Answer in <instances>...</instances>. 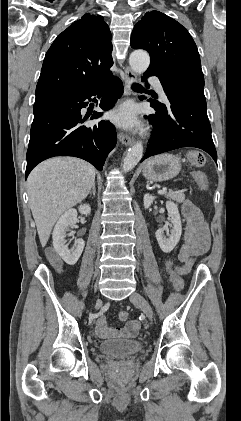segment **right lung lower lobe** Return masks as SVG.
Segmentation results:
<instances>
[{
    "mask_svg": "<svg viewBox=\"0 0 241 421\" xmlns=\"http://www.w3.org/2000/svg\"><path fill=\"white\" fill-rule=\"evenodd\" d=\"M104 92L99 106L109 110L121 97L123 84L111 74L88 88L67 90L35 101L25 178L37 164L55 156L82 158L98 170L103 169L108 153L116 144L115 127L109 121L92 127L81 125L89 116L82 117L80 111L88 105L87 99L91 101L92 96ZM101 115L94 112L91 119Z\"/></svg>",
    "mask_w": 241,
    "mask_h": 421,
    "instance_id": "1",
    "label": "right lung lower lobe"
}]
</instances>
